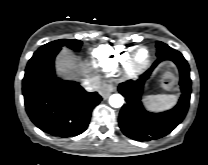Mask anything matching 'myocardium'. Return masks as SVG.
I'll return each mask as SVG.
<instances>
[{
    "mask_svg": "<svg viewBox=\"0 0 208 165\" xmlns=\"http://www.w3.org/2000/svg\"><path fill=\"white\" fill-rule=\"evenodd\" d=\"M141 51L147 52V57L143 61H140L138 59V55ZM151 59H152V54L147 47H145V46L137 47L133 51L131 56L129 57V67H128L129 72L131 74H136V73L142 72L150 65Z\"/></svg>",
    "mask_w": 208,
    "mask_h": 165,
    "instance_id": "myocardium-1",
    "label": "myocardium"
}]
</instances>
